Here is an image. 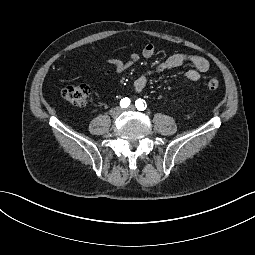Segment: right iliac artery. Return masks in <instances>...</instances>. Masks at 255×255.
I'll use <instances>...</instances> for the list:
<instances>
[{
    "instance_id": "obj_1",
    "label": "right iliac artery",
    "mask_w": 255,
    "mask_h": 255,
    "mask_svg": "<svg viewBox=\"0 0 255 255\" xmlns=\"http://www.w3.org/2000/svg\"><path fill=\"white\" fill-rule=\"evenodd\" d=\"M130 105V99L129 98H123V99H121V101H120V106L122 107V108H126V107H128Z\"/></svg>"
}]
</instances>
